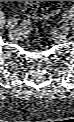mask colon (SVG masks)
<instances>
[{
	"label": "colon",
	"instance_id": "obj_1",
	"mask_svg": "<svg viewBox=\"0 0 74 122\" xmlns=\"http://www.w3.org/2000/svg\"><path fill=\"white\" fill-rule=\"evenodd\" d=\"M56 10L54 1H28L24 11L33 17H43Z\"/></svg>",
	"mask_w": 74,
	"mask_h": 122
}]
</instances>
